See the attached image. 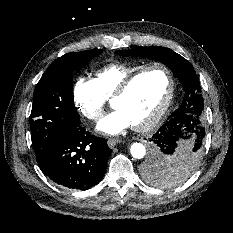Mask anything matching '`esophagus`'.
Returning a JSON list of instances; mask_svg holds the SVG:
<instances>
[{"mask_svg":"<svg viewBox=\"0 0 233 233\" xmlns=\"http://www.w3.org/2000/svg\"><path fill=\"white\" fill-rule=\"evenodd\" d=\"M119 142L116 138H109L107 143L110 148H113Z\"/></svg>","mask_w":233,"mask_h":233,"instance_id":"esophagus-1","label":"esophagus"}]
</instances>
